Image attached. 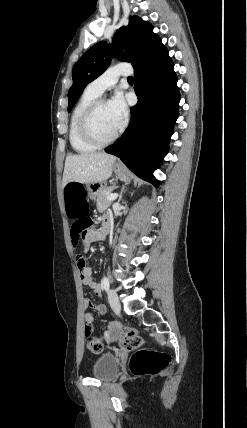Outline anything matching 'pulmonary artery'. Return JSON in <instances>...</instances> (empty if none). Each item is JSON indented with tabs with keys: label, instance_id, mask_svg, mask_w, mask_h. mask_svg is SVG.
I'll use <instances>...</instances> for the list:
<instances>
[{
	"label": "pulmonary artery",
	"instance_id": "1",
	"mask_svg": "<svg viewBox=\"0 0 247 428\" xmlns=\"http://www.w3.org/2000/svg\"><path fill=\"white\" fill-rule=\"evenodd\" d=\"M131 74L132 68L129 64L121 63L115 65L89 83L87 89L100 96L105 90L112 87L120 76H129Z\"/></svg>",
	"mask_w": 247,
	"mask_h": 428
}]
</instances>
